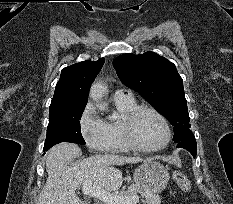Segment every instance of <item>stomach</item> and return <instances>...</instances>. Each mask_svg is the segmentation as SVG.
Masks as SVG:
<instances>
[{"instance_id": "0dacf381", "label": "stomach", "mask_w": 233, "mask_h": 204, "mask_svg": "<svg viewBox=\"0 0 233 204\" xmlns=\"http://www.w3.org/2000/svg\"><path fill=\"white\" fill-rule=\"evenodd\" d=\"M169 178L168 170L161 163L152 160L145 161L133 174L136 185L153 193L164 190Z\"/></svg>"}]
</instances>
